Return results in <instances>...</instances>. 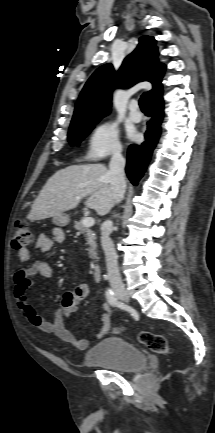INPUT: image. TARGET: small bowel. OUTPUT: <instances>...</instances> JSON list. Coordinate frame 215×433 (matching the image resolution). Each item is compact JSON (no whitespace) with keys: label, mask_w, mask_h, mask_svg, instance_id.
Masks as SVG:
<instances>
[{"label":"small bowel","mask_w":215,"mask_h":433,"mask_svg":"<svg viewBox=\"0 0 215 433\" xmlns=\"http://www.w3.org/2000/svg\"><path fill=\"white\" fill-rule=\"evenodd\" d=\"M64 232L61 229H55L50 234L42 233L36 240L35 247L41 252H48L54 244L64 241ZM32 258V252L23 248L19 251L21 262H29ZM35 277H41L49 281L53 277V271L50 264L45 260H37L28 267L21 268L14 275V297L17 306L23 317L35 328L45 332L52 333L60 340L69 343L78 350H86L90 341L88 339H78L64 325V320L78 311L80 303L88 295V285L84 282L78 283L73 289L67 291L61 301V307L54 312L53 322L47 321L40 316L33 306L29 303L27 290L32 286ZM111 309L107 303L101 304L100 321L101 327L96 335V339L105 336L111 327L110 320Z\"/></svg>","instance_id":"small-bowel-1"}]
</instances>
